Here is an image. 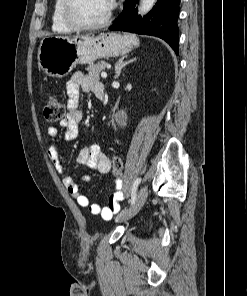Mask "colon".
Instances as JSON below:
<instances>
[{"mask_svg": "<svg viewBox=\"0 0 247 296\" xmlns=\"http://www.w3.org/2000/svg\"><path fill=\"white\" fill-rule=\"evenodd\" d=\"M66 109L61 99L56 95H49L43 107V117L47 122H57L65 115ZM123 170V161L119 156L111 158V171L119 176Z\"/></svg>", "mask_w": 247, "mask_h": 296, "instance_id": "5ec220e1", "label": "colon"}]
</instances>
